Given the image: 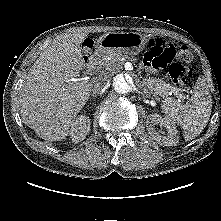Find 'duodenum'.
Wrapping results in <instances>:
<instances>
[{
  "mask_svg": "<svg viewBox=\"0 0 221 221\" xmlns=\"http://www.w3.org/2000/svg\"><path fill=\"white\" fill-rule=\"evenodd\" d=\"M101 59V54L100 53H93L91 56H89L87 60V67L89 69H94L95 66L98 64V62Z\"/></svg>",
  "mask_w": 221,
  "mask_h": 221,
  "instance_id": "duodenum-1",
  "label": "duodenum"
}]
</instances>
